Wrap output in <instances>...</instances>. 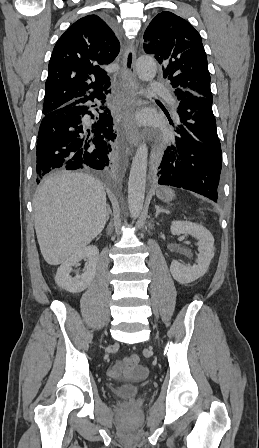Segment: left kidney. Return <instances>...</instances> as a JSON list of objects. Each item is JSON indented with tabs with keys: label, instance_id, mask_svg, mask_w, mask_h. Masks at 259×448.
<instances>
[{
	"label": "left kidney",
	"instance_id": "5707ae66",
	"mask_svg": "<svg viewBox=\"0 0 259 448\" xmlns=\"http://www.w3.org/2000/svg\"><path fill=\"white\" fill-rule=\"evenodd\" d=\"M171 234L174 236H180V234H190L199 240L198 242V260L194 266H184L177 260H173L170 266V272L179 284H191L198 278H202L206 274L212 258H214V238L206 228L199 226V224H193V222H172L170 228Z\"/></svg>",
	"mask_w": 259,
	"mask_h": 448
}]
</instances>
